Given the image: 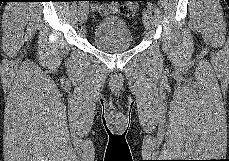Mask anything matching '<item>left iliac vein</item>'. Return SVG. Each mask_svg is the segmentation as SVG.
Segmentation results:
<instances>
[{
	"instance_id": "4c4485c4",
	"label": "left iliac vein",
	"mask_w": 229,
	"mask_h": 161,
	"mask_svg": "<svg viewBox=\"0 0 229 161\" xmlns=\"http://www.w3.org/2000/svg\"><path fill=\"white\" fill-rule=\"evenodd\" d=\"M143 24L148 31L153 30L154 19L150 9H145L143 11Z\"/></svg>"
}]
</instances>
